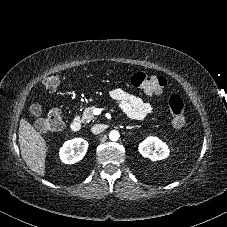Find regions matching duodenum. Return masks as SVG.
Listing matches in <instances>:
<instances>
[{"label":"duodenum","mask_w":227,"mask_h":227,"mask_svg":"<svg viewBox=\"0 0 227 227\" xmlns=\"http://www.w3.org/2000/svg\"><path fill=\"white\" fill-rule=\"evenodd\" d=\"M82 128V123L79 118H74L70 122V129L74 132H79Z\"/></svg>","instance_id":"obj_1"}]
</instances>
